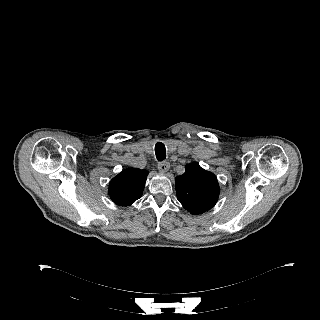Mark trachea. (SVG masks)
<instances>
[{"label":"trachea","instance_id":"3493384b","mask_svg":"<svg viewBox=\"0 0 320 320\" xmlns=\"http://www.w3.org/2000/svg\"><path fill=\"white\" fill-rule=\"evenodd\" d=\"M155 154L158 161H163L166 158V149L163 143H156Z\"/></svg>","mask_w":320,"mask_h":320}]
</instances>
